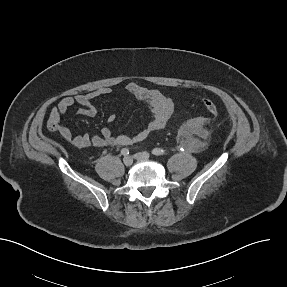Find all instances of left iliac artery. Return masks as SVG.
<instances>
[{
    "label": "left iliac artery",
    "mask_w": 287,
    "mask_h": 287,
    "mask_svg": "<svg viewBox=\"0 0 287 287\" xmlns=\"http://www.w3.org/2000/svg\"><path fill=\"white\" fill-rule=\"evenodd\" d=\"M152 154L156 156H160V155L165 154V151L161 148H155L152 150Z\"/></svg>",
    "instance_id": "1"
}]
</instances>
